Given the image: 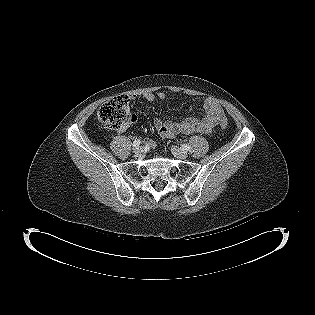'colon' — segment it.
<instances>
[{"instance_id":"5ec220e1","label":"colon","mask_w":315,"mask_h":315,"mask_svg":"<svg viewBox=\"0 0 315 315\" xmlns=\"http://www.w3.org/2000/svg\"><path fill=\"white\" fill-rule=\"evenodd\" d=\"M97 116L104 127L112 130H122L134 121V116L129 110L128 99L125 96L114 97L104 103L99 108ZM220 125L226 129V119H222Z\"/></svg>"}]
</instances>
